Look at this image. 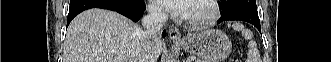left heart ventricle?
I'll return each mask as SVG.
<instances>
[{
	"instance_id": "b2bd125f",
	"label": "left heart ventricle",
	"mask_w": 331,
	"mask_h": 62,
	"mask_svg": "<svg viewBox=\"0 0 331 62\" xmlns=\"http://www.w3.org/2000/svg\"><path fill=\"white\" fill-rule=\"evenodd\" d=\"M209 7L202 1H192L190 13L187 19L206 17L209 14Z\"/></svg>"
}]
</instances>
